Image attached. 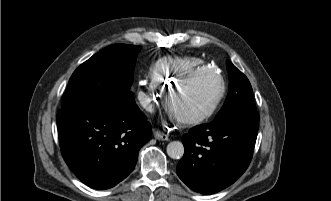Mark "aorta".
Instances as JSON below:
<instances>
[{
	"label": "aorta",
	"mask_w": 331,
	"mask_h": 201,
	"mask_svg": "<svg viewBox=\"0 0 331 201\" xmlns=\"http://www.w3.org/2000/svg\"><path fill=\"white\" fill-rule=\"evenodd\" d=\"M167 154L170 158L180 159L184 155V146L179 141H172L167 145Z\"/></svg>",
	"instance_id": "obj_1"
}]
</instances>
